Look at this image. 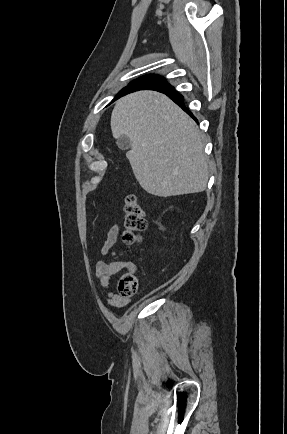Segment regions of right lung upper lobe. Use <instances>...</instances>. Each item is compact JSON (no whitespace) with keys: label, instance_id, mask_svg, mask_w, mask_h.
Segmentation results:
<instances>
[{"label":"right lung upper lobe","instance_id":"cb5924a9","mask_svg":"<svg viewBox=\"0 0 287 434\" xmlns=\"http://www.w3.org/2000/svg\"><path fill=\"white\" fill-rule=\"evenodd\" d=\"M168 85L167 82L161 83V84H156V85H150V86H138V87H132L127 89L125 92H123V95L130 93V92H134V91H138V90H144V89H148V90H162L165 88V86ZM122 95V96H123Z\"/></svg>","mask_w":287,"mask_h":434}]
</instances>
